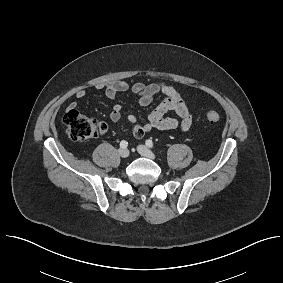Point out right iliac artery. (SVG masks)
I'll return each mask as SVG.
<instances>
[{
	"mask_svg": "<svg viewBox=\"0 0 283 283\" xmlns=\"http://www.w3.org/2000/svg\"><path fill=\"white\" fill-rule=\"evenodd\" d=\"M128 146V143L125 141V140H122L121 142H120V147L121 148H126Z\"/></svg>",
	"mask_w": 283,
	"mask_h": 283,
	"instance_id": "right-iliac-artery-1",
	"label": "right iliac artery"
}]
</instances>
